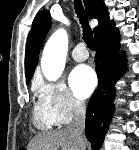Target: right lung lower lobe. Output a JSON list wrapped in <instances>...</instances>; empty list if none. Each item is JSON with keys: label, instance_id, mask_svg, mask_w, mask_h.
Returning a JSON list of instances; mask_svg holds the SVG:
<instances>
[{"label": "right lung lower lobe", "instance_id": "1", "mask_svg": "<svg viewBox=\"0 0 139 150\" xmlns=\"http://www.w3.org/2000/svg\"><path fill=\"white\" fill-rule=\"evenodd\" d=\"M116 34L118 30L110 20L95 34V64L99 86L89 100L85 128L93 150H99L103 143L114 111V84L125 70L124 57L117 56L119 44Z\"/></svg>", "mask_w": 139, "mask_h": 150}]
</instances>
